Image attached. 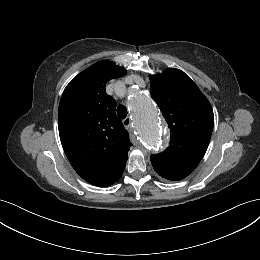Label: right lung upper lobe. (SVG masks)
<instances>
[{"instance_id": "cb5924a9", "label": "right lung upper lobe", "mask_w": 260, "mask_h": 260, "mask_svg": "<svg viewBox=\"0 0 260 260\" xmlns=\"http://www.w3.org/2000/svg\"><path fill=\"white\" fill-rule=\"evenodd\" d=\"M126 70L111 61H98L78 74L60 100L59 135L75 171L88 183L110 186L121 177L132 144L116 116V101L106 83Z\"/></svg>"}]
</instances>
